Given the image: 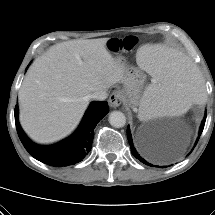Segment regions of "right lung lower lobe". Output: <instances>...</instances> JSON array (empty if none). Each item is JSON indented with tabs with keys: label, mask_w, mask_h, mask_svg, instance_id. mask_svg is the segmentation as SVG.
<instances>
[{
	"label": "right lung lower lobe",
	"mask_w": 215,
	"mask_h": 215,
	"mask_svg": "<svg viewBox=\"0 0 215 215\" xmlns=\"http://www.w3.org/2000/svg\"><path fill=\"white\" fill-rule=\"evenodd\" d=\"M108 112L107 102L93 101L77 130L68 138L53 145L36 144L26 136L18 121V105L15 107V124L22 144L32 157L50 166L65 167L85 158L91 150L93 130Z\"/></svg>",
	"instance_id": "98d812e1"
}]
</instances>
